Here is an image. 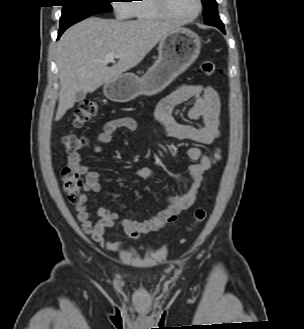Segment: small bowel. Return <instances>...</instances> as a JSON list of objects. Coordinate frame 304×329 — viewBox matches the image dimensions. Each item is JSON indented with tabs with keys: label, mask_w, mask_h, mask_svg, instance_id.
Returning <instances> with one entry per match:
<instances>
[{
	"label": "small bowel",
	"mask_w": 304,
	"mask_h": 329,
	"mask_svg": "<svg viewBox=\"0 0 304 329\" xmlns=\"http://www.w3.org/2000/svg\"><path fill=\"white\" fill-rule=\"evenodd\" d=\"M191 100L193 105L187 110L186 116L191 120H201L200 126L177 122L172 116L176 106ZM155 116L166 135L173 139L212 144L220 138V100L218 93L211 86L182 84L176 87L159 102ZM135 128L134 120L128 117H119L108 121L97 137L95 150L99 153L102 152L104 146L113 140V134L117 130H133ZM221 153L220 148H217L213 154L205 153L197 147L189 148L187 155L195 163L189 165L187 169L190 180L188 186L180 192L167 195L165 208L156 212L149 219L135 221L121 217L116 211L99 207L97 209L99 220L96 223H93L90 218L87 194L90 192L99 193L102 190L100 173L83 164L80 154L71 153L68 157V166L85 177L84 193L80 201L75 204L77 220L81 223L83 231L89 234L96 243L108 251L119 252L125 248L127 242L125 240L106 241L104 234L107 228L119 226L130 239L136 240L141 235L159 231L166 224L175 221L182 211L194 203L205 172L221 159ZM152 174L153 171L148 166L134 171V175L143 181L150 179ZM143 249L144 247L140 246V250Z\"/></svg>",
	"instance_id": "obj_1"
}]
</instances>
